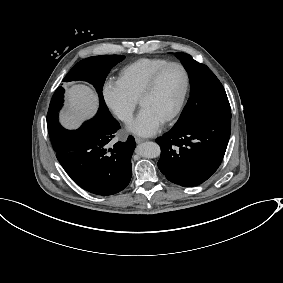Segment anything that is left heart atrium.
<instances>
[{
	"label": "left heart atrium",
	"instance_id": "39dd6f15",
	"mask_svg": "<svg viewBox=\"0 0 283 283\" xmlns=\"http://www.w3.org/2000/svg\"><path fill=\"white\" fill-rule=\"evenodd\" d=\"M163 119L146 108H141L137 117L129 124L128 130L137 135L148 136L158 131Z\"/></svg>",
	"mask_w": 283,
	"mask_h": 283
}]
</instances>
